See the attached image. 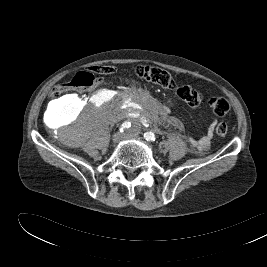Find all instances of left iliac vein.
Listing matches in <instances>:
<instances>
[{
  "mask_svg": "<svg viewBox=\"0 0 267 267\" xmlns=\"http://www.w3.org/2000/svg\"><path fill=\"white\" fill-rule=\"evenodd\" d=\"M127 137H128V138H137L138 136H137V134H135L134 132H129V133L127 134Z\"/></svg>",
  "mask_w": 267,
  "mask_h": 267,
  "instance_id": "obj_1",
  "label": "left iliac vein"
}]
</instances>
